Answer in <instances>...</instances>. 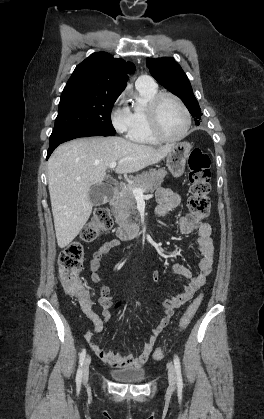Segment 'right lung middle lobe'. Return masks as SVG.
Here are the masks:
<instances>
[{
    "label": "right lung middle lobe",
    "mask_w": 264,
    "mask_h": 419,
    "mask_svg": "<svg viewBox=\"0 0 264 419\" xmlns=\"http://www.w3.org/2000/svg\"><path fill=\"white\" fill-rule=\"evenodd\" d=\"M119 95L81 86L64 88L50 145L83 131L116 134L111 123V110Z\"/></svg>",
    "instance_id": "1"
}]
</instances>
